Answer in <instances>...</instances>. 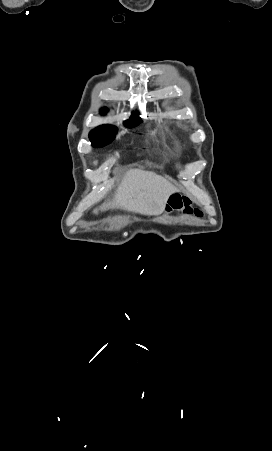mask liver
Returning a JSON list of instances; mask_svg holds the SVG:
<instances>
[{"instance_id": "liver-1", "label": "liver", "mask_w": 272, "mask_h": 451, "mask_svg": "<svg viewBox=\"0 0 272 451\" xmlns=\"http://www.w3.org/2000/svg\"><path fill=\"white\" fill-rule=\"evenodd\" d=\"M178 192L175 186L162 176L144 170H129L118 186L113 200L104 202L99 210H127L144 216H160L165 210L169 196ZM98 208L94 210L97 214Z\"/></svg>"}]
</instances>
